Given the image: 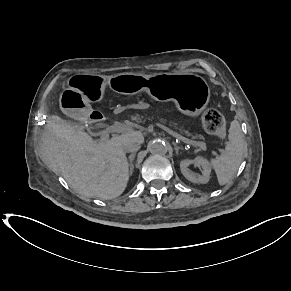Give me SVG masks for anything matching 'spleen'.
I'll return each mask as SVG.
<instances>
[{
	"mask_svg": "<svg viewBox=\"0 0 291 291\" xmlns=\"http://www.w3.org/2000/svg\"><path fill=\"white\" fill-rule=\"evenodd\" d=\"M228 140L221 155L211 160L220 185H225L232 179L243 160L245 142L237 120L232 121L230 125Z\"/></svg>",
	"mask_w": 291,
	"mask_h": 291,
	"instance_id": "obj_1",
	"label": "spleen"
}]
</instances>
